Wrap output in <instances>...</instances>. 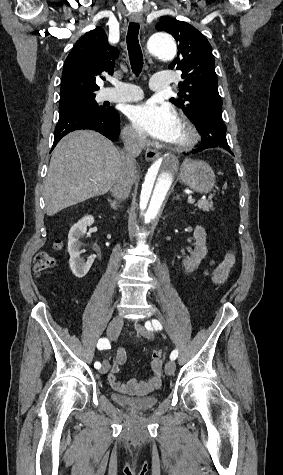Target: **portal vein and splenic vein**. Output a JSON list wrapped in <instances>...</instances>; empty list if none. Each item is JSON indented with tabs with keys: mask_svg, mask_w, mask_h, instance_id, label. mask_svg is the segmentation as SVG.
<instances>
[{
	"mask_svg": "<svg viewBox=\"0 0 283 475\" xmlns=\"http://www.w3.org/2000/svg\"><path fill=\"white\" fill-rule=\"evenodd\" d=\"M195 200H192V196L188 198V204H194Z\"/></svg>",
	"mask_w": 283,
	"mask_h": 475,
	"instance_id": "1",
	"label": "portal vein and splenic vein"
}]
</instances>
